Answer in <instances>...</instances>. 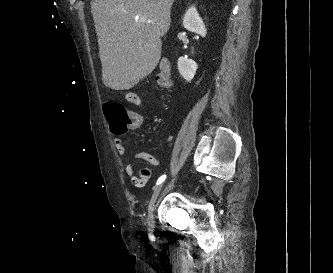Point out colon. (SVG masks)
<instances>
[{"label": "colon", "mask_w": 333, "mask_h": 273, "mask_svg": "<svg viewBox=\"0 0 333 273\" xmlns=\"http://www.w3.org/2000/svg\"><path fill=\"white\" fill-rule=\"evenodd\" d=\"M156 81L160 87L168 88L171 86V67L167 60H162L156 74ZM104 113L107 121L114 132L122 133L134 123V117L120 103L110 101L104 104ZM150 177V170L143 168L136 179L144 184Z\"/></svg>", "instance_id": "obj_1"}]
</instances>
